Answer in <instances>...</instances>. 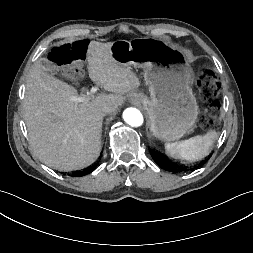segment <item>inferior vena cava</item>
Listing matches in <instances>:
<instances>
[{
    "label": "inferior vena cava",
    "mask_w": 253,
    "mask_h": 253,
    "mask_svg": "<svg viewBox=\"0 0 253 253\" xmlns=\"http://www.w3.org/2000/svg\"><path fill=\"white\" fill-rule=\"evenodd\" d=\"M102 111L104 113H111L113 111H115V107L111 104H107L105 103L103 106H102Z\"/></svg>",
    "instance_id": "1"
}]
</instances>
